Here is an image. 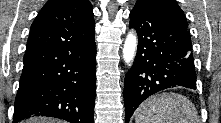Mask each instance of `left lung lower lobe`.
<instances>
[{"instance_id":"obj_1","label":"left lung lower lobe","mask_w":221,"mask_h":123,"mask_svg":"<svg viewBox=\"0 0 221 123\" xmlns=\"http://www.w3.org/2000/svg\"><path fill=\"white\" fill-rule=\"evenodd\" d=\"M130 28L138 34L135 62L126 74L124 104L126 123L149 96L171 87L196 89L192 44L187 29L153 15L136 2Z\"/></svg>"}]
</instances>
